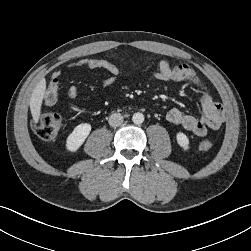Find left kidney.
I'll use <instances>...</instances> for the list:
<instances>
[{"label": "left kidney", "mask_w": 251, "mask_h": 251, "mask_svg": "<svg viewBox=\"0 0 251 251\" xmlns=\"http://www.w3.org/2000/svg\"><path fill=\"white\" fill-rule=\"evenodd\" d=\"M177 143L185 150L187 151L189 149V139L186 136V134L179 132L176 135Z\"/></svg>", "instance_id": "obj_1"}]
</instances>
